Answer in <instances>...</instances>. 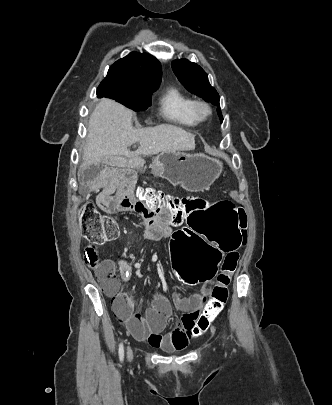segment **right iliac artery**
<instances>
[{"label":"right iliac artery","instance_id":"1","mask_svg":"<svg viewBox=\"0 0 332 405\" xmlns=\"http://www.w3.org/2000/svg\"><path fill=\"white\" fill-rule=\"evenodd\" d=\"M119 357H120V360H121V361H122L123 358H124V348H123V344H122V343H121L120 346H119Z\"/></svg>","mask_w":332,"mask_h":405}]
</instances>
